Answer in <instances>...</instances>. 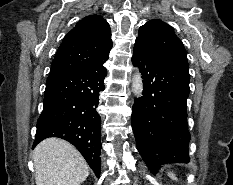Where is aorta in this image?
Masks as SVG:
<instances>
[{"mask_svg":"<svg viewBox=\"0 0 233 185\" xmlns=\"http://www.w3.org/2000/svg\"><path fill=\"white\" fill-rule=\"evenodd\" d=\"M132 91L137 98L142 96L143 81L139 72H136L132 78Z\"/></svg>","mask_w":233,"mask_h":185,"instance_id":"aorta-1","label":"aorta"}]
</instances>
